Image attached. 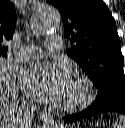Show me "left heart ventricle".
I'll list each match as a JSON object with an SVG mask.
<instances>
[{"mask_svg": "<svg viewBox=\"0 0 125 128\" xmlns=\"http://www.w3.org/2000/svg\"><path fill=\"white\" fill-rule=\"evenodd\" d=\"M76 95H77V91L74 89V87H72V89H71L67 98H71V97H74Z\"/></svg>", "mask_w": 125, "mask_h": 128, "instance_id": "left-heart-ventricle-1", "label": "left heart ventricle"}]
</instances>
